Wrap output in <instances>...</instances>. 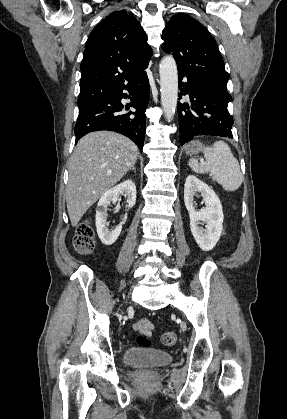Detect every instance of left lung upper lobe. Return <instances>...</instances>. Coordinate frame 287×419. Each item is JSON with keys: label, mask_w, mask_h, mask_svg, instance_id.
Here are the masks:
<instances>
[{"label": "left lung upper lobe", "mask_w": 287, "mask_h": 419, "mask_svg": "<svg viewBox=\"0 0 287 419\" xmlns=\"http://www.w3.org/2000/svg\"><path fill=\"white\" fill-rule=\"evenodd\" d=\"M161 38L162 49L176 60L178 75L226 88L229 74L217 43L201 23L186 14H176Z\"/></svg>", "instance_id": "5c2ea615"}]
</instances>
